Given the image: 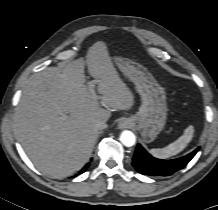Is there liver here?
Wrapping results in <instances>:
<instances>
[{
    "label": "liver",
    "instance_id": "liver-1",
    "mask_svg": "<svg viewBox=\"0 0 218 210\" xmlns=\"http://www.w3.org/2000/svg\"><path fill=\"white\" fill-rule=\"evenodd\" d=\"M85 64L96 79L97 92L86 85ZM134 96L120 78L103 42L93 44L86 62L77 60L62 69L48 68L26 83L15 114L18 140L31 162L52 178L79 171L89 160L98 137V121L111 109L129 110ZM63 113L69 115L62 120Z\"/></svg>",
    "mask_w": 218,
    "mask_h": 210
}]
</instances>
